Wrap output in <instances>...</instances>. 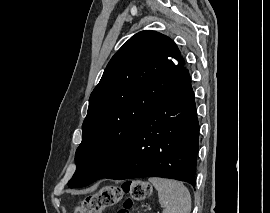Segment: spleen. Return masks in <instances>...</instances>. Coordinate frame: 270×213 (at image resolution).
<instances>
[{
  "label": "spleen",
  "instance_id": "3e777b00",
  "mask_svg": "<svg viewBox=\"0 0 270 213\" xmlns=\"http://www.w3.org/2000/svg\"><path fill=\"white\" fill-rule=\"evenodd\" d=\"M158 191V199L163 213H190L191 196L188 189L175 180L149 178Z\"/></svg>",
  "mask_w": 270,
  "mask_h": 213
}]
</instances>
